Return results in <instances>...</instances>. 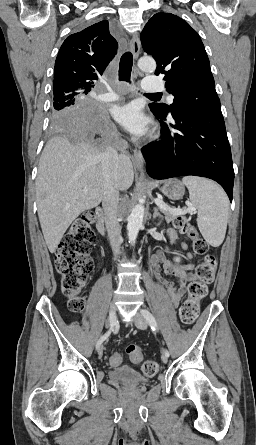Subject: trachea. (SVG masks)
I'll use <instances>...</instances> for the list:
<instances>
[{
  "instance_id": "trachea-1",
  "label": "trachea",
  "mask_w": 256,
  "mask_h": 445,
  "mask_svg": "<svg viewBox=\"0 0 256 445\" xmlns=\"http://www.w3.org/2000/svg\"><path fill=\"white\" fill-rule=\"evenodd\" d=\"M132 65H133V56H132V54L130 52H125L122 55V57L120 59V64H119V80L120 81L130 82ZM146 96H149V97H161V94H159V93L146 94Z\"/></svg>"
}]
</instances>
